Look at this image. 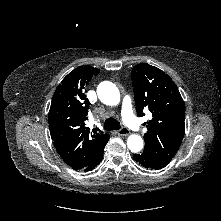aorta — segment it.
Wrapping results in <instances>:
<instances>
[{
  "instance_id": "762f6f07",
  "label": "aorta",
  "mask_w": 221,
  "mask_h": 221,
  "mask_svg": "<svg viewBox=\"0 0 221 221\" xmlns=\"http://www.w3.org/2000/svg\"><path fill=\"white\" fill-rule=\"evenodd\" d=\"M97 95L100 101L106 105H117L120 102V93L115 84L104 81L97 87ZM127 146L133 153H137L143 148V140L141 136L132 134L127 139Z\"/></svg>"
}]
</instances>
